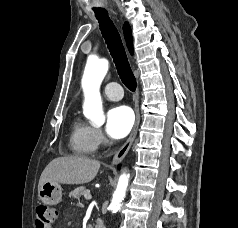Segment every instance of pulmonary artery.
<instances>
[{"instance_id":"1","label":"pulmonary artery","mask_w":238,"mask_h":228,"mask_svg":"<svg viewBox=\"0 0 238 228\" xmlns=\"http://www.w3.org/2000/svg\"><path fill=\"white\" fill-rule=\"evenodd\" d=\"M103 92L111 100H120L123 97L122 87L115 82L107 84L103 88Z\"/></svg>"}]
</instances>
